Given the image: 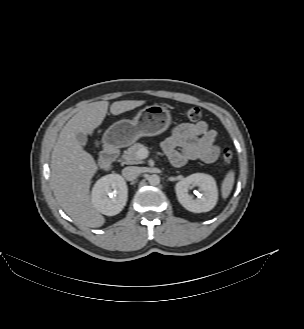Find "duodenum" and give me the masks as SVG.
<instances>
[{"instance_id":"duodenum-1","label":"duodenum","mask_w":304,"mask_h":329,"mask_svg":"<svg viewBox=\"0 0 304 329\" xmlns=\"http://www.w3.org/2000/svg\"><path fill=\"white\" fill-rule=\"evenodd\" d=\"M117 156H118V147L111 144L110 142H106L104 149L100 155V163L104 166L108 165L112 163Z\"/></svg>"}]
</instances>
